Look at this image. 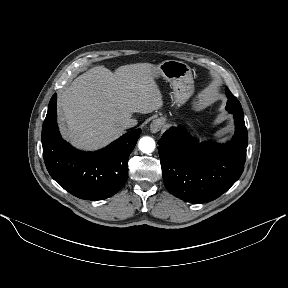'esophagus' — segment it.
<instances>
[{"instance_id": "1", "label": "esophagus", "mask_w": 288, "mask_h": 288, "mask_svg": "<svg viewBox=\"0 0 288 288\" xmlns=\"http://www.w3.org/2000/svg\"><path fill=\"white\" fill-rule=\"evenodd\" d=\"M163 127V121L161 119H155L150 124V131L152 133H157Z\"/></svg>"}]
</instances>
